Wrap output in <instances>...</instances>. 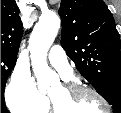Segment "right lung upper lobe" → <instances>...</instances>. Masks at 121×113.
I'll list each match as a JSON object with an SVG mask.
<instances>
[{
	"label": "right lung upper lobe",
	"instance_id": "1",
	"mask_svg": "<svg viewBox=\"0 0 121 113\" xmlns=\"http://www.w3.org/2000/svg\"><path fill=\"white\" fill-rule=\"evenodd\" d=\"M23 26L15 0H1V53L17 56Z\"/></svg>",
	"mask_w": 121,
	"mask_h": 113
}]
</instances>
